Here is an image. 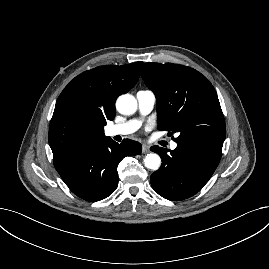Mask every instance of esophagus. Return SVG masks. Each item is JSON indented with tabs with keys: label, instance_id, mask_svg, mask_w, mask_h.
<instances>
[{
	"label": "esophagus",
	"instance_id": "esophagus-1",
	"mask_svg": "<svg viewBox=\"0 0 269 269\" xmlns=\"http://www.w3.org/2000/svg\"><path fill=\"white\" fill-rule=\"evenodd\" d=\"M150 150H149V147L147 145H142V153L146 154L148 153Z\"/></svg>",
	"mask_w": 269,
	"mask_h": 269
}]
</instances>
